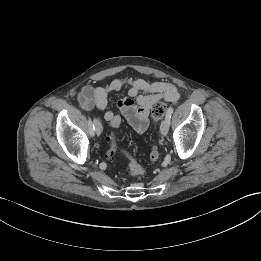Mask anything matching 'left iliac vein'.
<instances>
[{
  "label": "left iliac vein",
  "instance_id": "left-iliac-vein-1",
  "mask_svg": "<svg viewBox=\"0 0 261 261\" xmlns=\"http://www.w3.org/2000/svg\"><path fill=\"white\" fill-rule=\"evenodd\" d=\"M160 131L163 136H166L169 131V121L165 118V120L162 121L160 126Z\"/></svg>",
  "mask_w": 261,
  "mask_h": 261
}]
</instances>
